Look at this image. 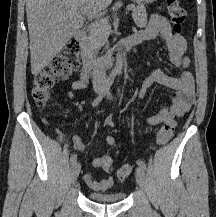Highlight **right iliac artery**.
<instances>
[{
  "mask_svg": "<svg viewBox=\"0 0 216 217\" xmlns=\"http://www.w3.org/2000/svg\"><path fill=\"white\" fill-rule=\"evenodd\" d=\"M114 79H115V75L114 74H110L102 91L100 92V94L94 99L93 103H92V106L95 107L97 106L102 100L103 98L106 96V94L109 92L113 82H114ZM77 160V155L76 154H73L70 158V163L71 164H74Z\"/></svg>",
  "mask_w": 216,
  "mask_h": 217,
  "instance_id": "1",
  "label": "right iliac artery"
}]
</instances>
